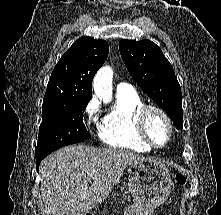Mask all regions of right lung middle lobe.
Segmentation results:
<instances>
[{"instance_id": "dd1d6c3e", "label": "right lung middle lobe", "mask_w": 221, "mask_h": 215, "mask_svg": "<svg viewBox=\"0 0 221 215\" xmlns=\"http://www.w3.org/2000/svg\"><path fill=\"white\" fill-rule=\"evenodd\" d=\"M89 100H61L42 105V122L39 128L36 157L89 137L83 113Z\"/></svg>"}]
</instances>
